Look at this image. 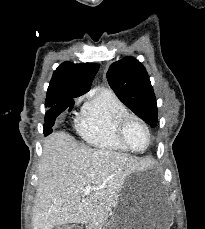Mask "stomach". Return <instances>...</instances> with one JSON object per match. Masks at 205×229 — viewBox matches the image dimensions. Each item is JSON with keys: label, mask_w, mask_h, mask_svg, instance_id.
<instances>
[{"label": "stomach", "mask_w": 205, "mask_h": 229, "mask_svg": "<svg viewBox=\"0 0 205 229\" xmlns=\"http://www.w3.org/2000/svg\"><path fill=\"white\" fill-rule=\"evenodd\" d=\"M172 222L173 212L167 202L138 193L128 181L103 229H170Z\"/></svg>", "instance_id": "1"}]
</instances>
